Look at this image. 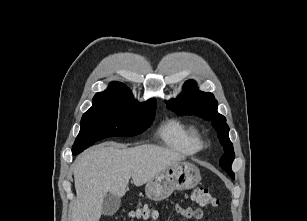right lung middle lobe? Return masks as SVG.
I'll return each instance as SVG.
<instances>
[{"label":"right lung middle lobe","mask_w":307,"mask_h":221,"mask_svg":"<svg viewBox=\"0 0 307 221\" xmlns=\"http://www.w3.org/2000/svg\"><path fill=\"white\" fill-rule=\"evenodd\" d=\"M155 110L156 102L93 103V106L82 116L81 129L74 142L72 154L77 155L106 137H130L141 133L151 124Z\"/></svg>","instance_id":"1"}]
</instances>
